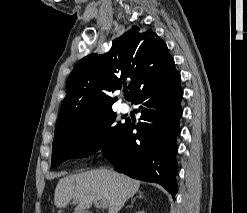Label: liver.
<instances>
[{
    "label": "liver",
    "mask_w": 247,
    "mask_h": 213,
    "mask_svg": "<svg viewBox=\"0 0 247 213\" xmlns=\"http://www.w3.org/2000/svg\"><path fill=\"white\" fill-rule=\"evenodd\" d=\"M140 187V181L113 170L96 169L61 178L54 193L57 208H66L73 200L77 210L88 209L94 202L105 201L108 213H118Z\"/></svg>",
    "instance_id": "1"
}]
</instances>
